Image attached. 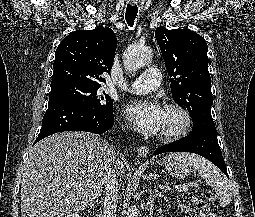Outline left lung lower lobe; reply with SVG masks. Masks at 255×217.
<instances>
[{
  "label": "left lung lower lobe",
  "instance_id": "left-lung-lower-lobe-1",
  "mask_svg": "<svg viewBox=\"0 0 255 217\" xmlns=\"http://www.w3.org/2000/svg\"><path fill=\"white\" fill-rule=\"evenodd\" d=\"M164 152H191L201 155L216 165L227 177L226 165L217 140L215 125L203 124L193 128L186 137L158 148L154 154Z\"/></svg>",
  "mask_w": 255,
  "mask_h": 217
}]
</instances>
